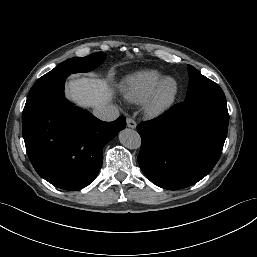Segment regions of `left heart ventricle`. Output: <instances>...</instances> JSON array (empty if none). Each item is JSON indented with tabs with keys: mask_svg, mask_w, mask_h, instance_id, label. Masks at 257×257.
<instances>
[{
	"mask_svg": "<svg viewBox=\"0 0 257 257\" xmlns=\"http://www.w3.org/2000/svg\"><path fill=\"white\" fill-rule=\"evenodd\" d=\"M171 88H172V84H171V83L167 84V86H166V91H167V92L170 91Z\"/></svg>",
	"mask_w": 257,
	"mask_h": 257,
	"instance_id": "1",
	"label": "left heart ventricle"
}]
</instances>
